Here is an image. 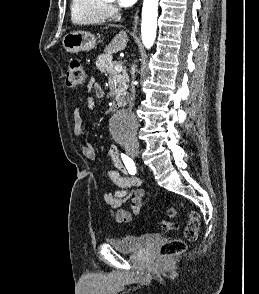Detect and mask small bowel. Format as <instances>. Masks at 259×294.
I'll use <instances>...</instances> for the list:
<instances>
[{
    "mask_svg": "<svg viewBox=\"0 0 259 294\" xmlns=\"http://www.w3.org/2000/svg\"><path fill=\"white\" fill-rule=\"evenodd\" d=\"M88 90L94 91L96 98H102L104 96L102 87L93 81L89 83ZM87 106L90 109L95 107V99L93 97L87 99ZM73 131L75 135H82L86 132V125L79 108H75L73 111ZM81 152L87 159L94 160L96 158V150L91 143L87 142L83 144L81 146ZM107 154L115 166V170L107 171V177L118 189L114 192L105 193L103 199L113 209L111 210V216L117 223H128L141 210L145 195L144 190L141 188L142 181L128 174V169L118 150L109 148ZM127 200L130 201L131 211L121 208V205Z\"/></svg>",
    "mask_w": 259,
    "mask_h": 294,
    "instance_id": "obj_1",
    "label": "small bowel"
}]
</instances>
